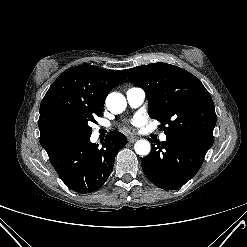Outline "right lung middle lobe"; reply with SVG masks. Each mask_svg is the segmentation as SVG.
Wrapping results in <instances>:
<instances>
[{
  "label": "right lung middle lobe",
  "mask_w": 247,
  "mask_h": 247,
  "mask_svg": "<svg viewBox=\"0 0 247 247\" xmlns=\"http://www.w3.org/2000/svg\"><path fill=\"white\" fill-rule=\"evenodd\" d=\"M101 113H85L77 117L59 120L54 126V137L57 142L64 143L73 139L91 135V122Z\"/></svg>",
  "instance_id": "right-lung-middle-lobe-1"
}]
</instances>
